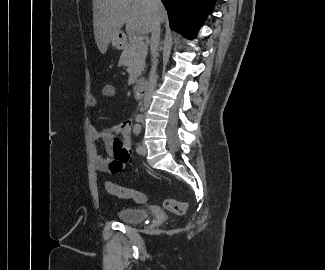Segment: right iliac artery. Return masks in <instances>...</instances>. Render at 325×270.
<instances>
[{
    "label": "right iliac artery",
    "mask_w": 325,
    "mask_h": 270,
    "mask_svg": "<svg viewBox=\"0 0 325 270\" xmlns=\"http://www.w3.org/2000/svg\"><path fill=\"white\" fill-rule=\"evenodd\" d=\"M135 120H136V122H140V121H142V117L137 116Z\"/></svg>",
    "instance_id": "obj_1"
}]
</instances>
